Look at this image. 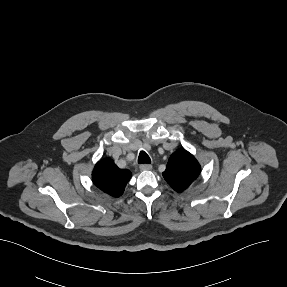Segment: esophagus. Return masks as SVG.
Wrapping results in <instances>:
<instances>
[{
  "label": "esophagus",
  "instance_id": "1",
  "mask_svg": "<svg viewBox=\"0 0 287 287\" xmlns=\"http://www.w3.org/2000/svg\"><path fill=\"white\" fill-rule=\"evenodd\" d=\"M140 169L141 170H151L152 169V165H150V164H141L140 165Z\"/></svg>",
  "mask_w": 287,
  "mask_h": 287
}]
</instances>
